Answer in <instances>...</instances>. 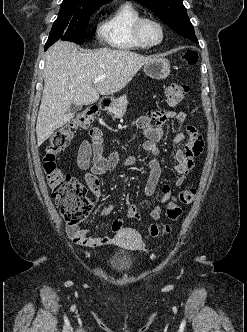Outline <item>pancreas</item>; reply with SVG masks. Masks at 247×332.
<instances>
[{
	"mask_svg": "<svg viewBox=\"0 0 247 332\" xmlns=\"http://www.w3.org/2000/svg\"><path fill=\"white\" fill-rule=\"evenodd\" d=\"M128 100L126 95L118 98L109 112L112 114L114 118H122L127 110Z\"/></svg>",
	"mask_w": 247,
	"mask_h": 332,
	"instance_id": "1",
	"label": "pancreas"
}]
</instances>
